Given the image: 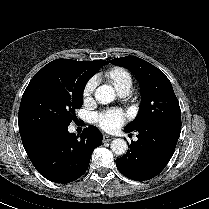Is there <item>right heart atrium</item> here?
<instances>
[{"label": "right heart atrium", "mask_w": 209, "mask_h": 209, "mask_svg": "<svg viewBox=\"0 0 209 209\" xmlns=\"http://www.w3.org/2000/svg\"><path fill=\"white\" fill-rule=\"evenodd\" d=\"M96 87V79L92 78L90 79L83 87V98L88 99L91 97L92 93L94 92V89Z\"/></svg>", "instance_id": "1"}]
</instances>
